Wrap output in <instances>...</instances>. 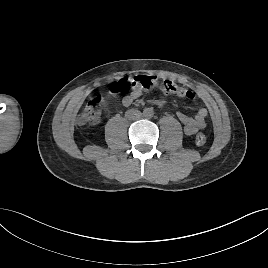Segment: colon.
I'll return each mask as SVG.
<instances>
[{
	"instance_id": "colon-1",
	"label": "colon",
	"mask_w": 268,
	"mask_h": 268,
	"mask_svg": "<svg viewBox=\"0 0 268 268\" xmlns=\"http://www.w3.org/2000/svg\"><path fill=\"white\" fill-rule=\"evenodd\" d=\"M151 90L159 88L166 94H174L182 98L192 99L193 93L184 87L171 80L158 81L154 76L150 75H137L130 78H123L117 81L112 89V94H118L129 89ZM102 99L99 96H93L89 99L87 105L79 115V123L82 125H95L97 124L102 115L101 111ZM196 143L203 145L207 142L208 137L203 133L196 136Z\"/></svg>"
}]
</instances>
